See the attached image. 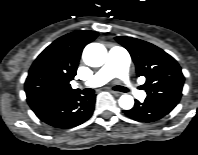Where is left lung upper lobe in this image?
Wrapping results in <instances>:
<instances>
[{
  "mask_svg": "<svg viewBox=\"0 0 198 155\" xmlns=\"http://www.w3.org/2000/svg\"><path fill=\"white\" fill-rule=\"evenodd\" d=\"M130 53L138 76H145L148 100H167L178 103L184 76L177 61L157 46L131 37L115 38Z\"/></svg>",
  "mask_w": 198,
  "mask_h": 155,
  "instance_id": "obj_1",
  "label": "left lung upper lobe"
}]
</instances>
